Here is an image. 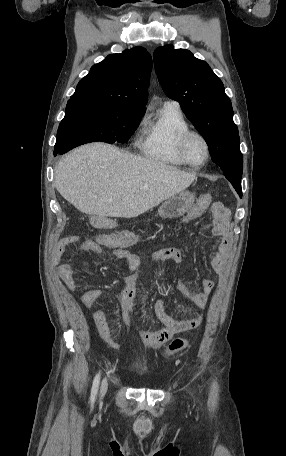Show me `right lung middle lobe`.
Instances as JSON below:
<instances>
[{
  "label": "right lung middle lobe",
  "instance_id": "1",
  "mask_svg": "<svg viewBox=\"0 0 286 456\" xmlns=\"http://www.w3.org/2000/svg\"><path fill=\"white\" fill-rule=\"evenodd\" d=\"M144 110L122 108L90 101H68L55 150L60 154L84 143H125L137 129Z\"/></svg>",
  "mask_w": 286,
  "mask_h": 456
}]
</instances>
